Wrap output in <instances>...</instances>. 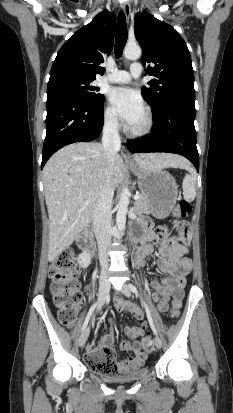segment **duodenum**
<instances>
[{
    "mask_svg": "<svg viewBox=\"0 0 233 413\" xmlns=\"http://www.w3.org/2000/svg\"><path fill=\"white\" fill-rule=\"evenodd\" d=\"M138 240V237L136 235L133 236V241L136 242ZM79 246L80 248L90 254H93L95 251V245H94V238L93 234L90 230H85L79 237ZM139 256L136 253V264L139 265Z\"/></svg>",
    "mask_w": 233,
    "mask_h": 413,
    "instance_id": "410a0bca",
    "label": "duodenum"
}]
</instances>
